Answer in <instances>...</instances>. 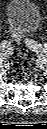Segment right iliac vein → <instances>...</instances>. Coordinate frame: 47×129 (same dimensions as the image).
Here are the masks:
<instances>
[{"mask_svg": "<svg viewBox=\"0 0 47 129\" xmlns=\"http://www.w3.org/2000/svg\"><path fill=\"white\" fill-rule=\"evenodd\" d=\"M8 47H9V45H2V44H1L0 50H1V51H4V50H6Z\"/></svg>", "mask_w": 47, "mask_h": 129, "instance_id": "right-iliac-vein-1", "label": "right iliac vein"}]
</instances>
